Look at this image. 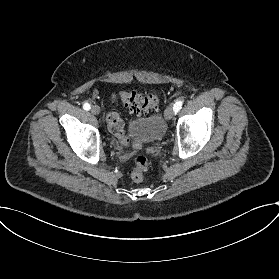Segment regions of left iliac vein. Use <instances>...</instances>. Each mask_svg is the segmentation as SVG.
<instances>
[{
  "mask_svg": "<svg viewBox=\"0 0 279 279\" xmlns=\"http://www.w3.org/2000/svg\"><path fill=\"white\" fill-rule=\"evenodd\" d=\"M173 107L170 105L165 110V117L167 120H171L173 118L174 112Z\"/></svg>",
  "mask_w": 279,
  "mask_h": 279,
  "instance_id": "4c4485c4",
  "label": "left iliac vein"
}]
</instances>
